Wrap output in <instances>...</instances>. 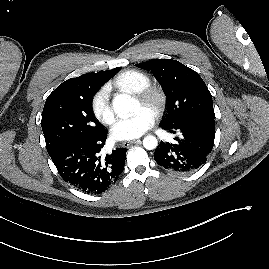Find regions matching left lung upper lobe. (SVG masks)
<instances>
[{"label": "left lung upper lobe", "instance_id": "left-lung-upper-lobe-1", "mask_svg": "<svg viewBox=\"0 0 269 269\" xmlns=\"http://www.w3.org/2000/svg\"><path fill=\"white\" fill-rule=\"evenodd\" d=\"M137 67L151 71L167 97L166 125L190 118H215L212 96L194 70L172 59H154Z\"/></svg>", "mask_w": 269, "mask_h": 269}]
</instances>
